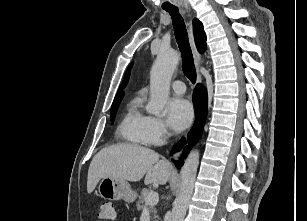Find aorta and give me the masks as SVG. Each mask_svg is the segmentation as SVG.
<instances>
[{
	"mask_svg": "<svg viewBox=\"0 0 307 221\" xmlns=\"http://www.w3.org/2000/svg\"><path fill=\"white\" fill-rule=\"evenodd\" d=\"M178 63L179 54L175 50H162L157 55L150 72L151 99L146 107L149 113L163 116V109L169 97L171 78ZM198 165L199 151L192 150L181 170L180 189L169 221H183L194 191Z\"/></svg>",
	"mask_w": 307,
	"mask_h": 221,
	"instance_id": "1",
	"label": "aorta"
}]
</instances>
